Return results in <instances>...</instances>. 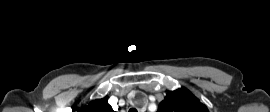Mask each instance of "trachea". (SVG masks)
<instances>
[{
  "label": "trachea",
  "mask_w": 270,
  "mask_h": 112,
  "mask_svg": "<svg viewBox=\"0 0 270 112\" xmlns=\"http://www.w3.org/2000/svg\"><path fill=\"white\" fill-rule=\"evenodd\" d=\"M129 112H138L135 108H131Z\"/></svg>",
  "instance_id": "obj_1"
}]
</instances>
